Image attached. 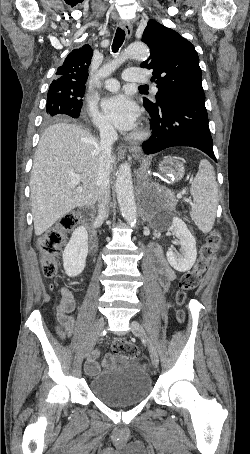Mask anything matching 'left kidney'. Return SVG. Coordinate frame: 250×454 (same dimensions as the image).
Returning a JSON list of instances; mask_svg holds the SVG:
<instances>
[{
  "instance_id": "1",
  "label": "left kidney",
  "mask_w": 250,
  "mask_h": 454,
  "mask_svg": "<svg viewBox=\"0 0 250 454\" xmlns=\"http://www.w3.org/2000/svg\"><path fill=\"white\" fill-rule=\"evenodd\" d=\"M169 229L178 238L181 245L180 253L171 248L166 257L170 265L179 272H186L196 261V240L188 230L186 223L179 217H173Z\"/></svg>"
}]
</instances>
